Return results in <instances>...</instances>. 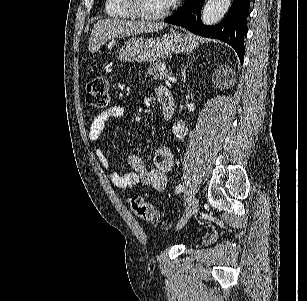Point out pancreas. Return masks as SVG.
I'll return each instance as SVG.
<instances>
[{"mask_svg":"<svg viewBox=\"0 0 307 301\" xmlns=\"http://www.w3.org/2000/svg\"><path fill=\"white\" fill-rule=\"evenodd\" d=\"M148 74L152 78H158L160 80L165 74H168L166 62H155L154 66H149Z\"/></svg>","mask_w":307,"mask_h":301,"instance_id":"obj_1","label":"pancreas"}]
</instances>
